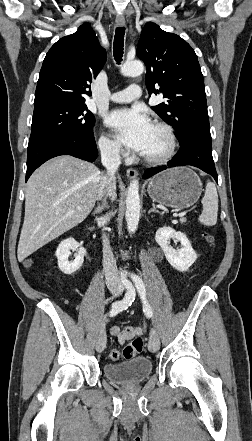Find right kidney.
Returning a JSON list of instances; mask_svg holds the SVG:
<instances>
[{"instance_id": "right-kidney-1", "label": "right kidney", "mask_w": 252, "mask_h": 441, "mask_svg": "<svg viewBox=\"0 0 252 441\" xmlns=\"http://www.w3.org/2000/svg\"><path fill=\"white\" fill-rule=\"evenodd\" d=\"M70 250L78 251L73 261L68 260ZM55 254L58 259L59 269L66 275H72L81 268L84 262V256L86 255V249L80 246L73 238H68L59 244Z\"/></svg>"}]
</instances>
